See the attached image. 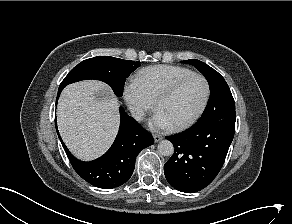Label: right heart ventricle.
<instances>
[{
	"label": "right heart ventricle",
	"instance_id": "right-heart-ventricle-1",
	"mask_svg": "<svg viewBox=\"0 0 292 224\" xmlns=\"http://www.w3.org/2000/svg\"><path fill=\"white\" fill-rule=\"evenodd\" d=\"M195 73L193 70L175 65H155L141 69L135 75L138 82L148 96L155 101L165 88L178 79Z\"/></svg>",
	"mask_w": 292,
	"mask_h": 224
}]
</instances>
